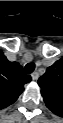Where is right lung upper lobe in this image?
<instances>
[{"instance_id": "obj_1", "label": "right lung upper lobe", "mask_w": 63, "mask_h": 123, "mask_svg": "<svg viewBox=\"0 0 63 123\" xmlns=\"http://www.w3.org/2000/svg\"><path fill=\"white\" fill-rule=\"evenodd\" d=\"M1 93L7 98L8 102L14 101L23 89V84L31 79L23 74V70L18 63L7 65V71L1 78Z\"/></svg>"}]
</instances>
